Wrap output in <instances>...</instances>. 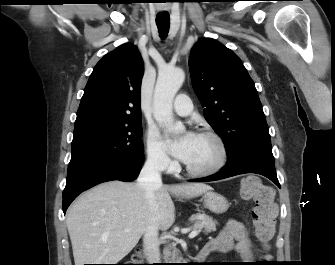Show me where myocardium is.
<instances>
[{
  "label": "myocardium",
  "mask_w": 335,
  "mask_h": 265,
  "mask_svg": "<svg viewBox=\"0 0 335 265\" xmlns=\"http://www.w3.org/2000/svg\"><path fill=\"white\" fill-rule=\"evenodd\" d=\"M198 136L208 137L216 142L219 149L218 159L212 166L206 169H194L189 165H187L186 163L184 164V168L186 172L191 176L209 177L219 172L225 166L228 159V148L224 139L214 131L209 130L202 131L198 134Z\"/></svg>",
  "instance_id": "1"
}]
</instances>
